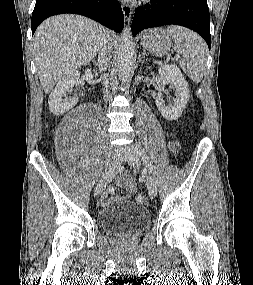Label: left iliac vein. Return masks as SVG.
<instances>
[{"label":"left iliac vein","mask_w":253,"mask_h":285,"mask_svg":"<svg viewBox=\"0 0 253 285\" xmlns=\"http://www.w3.org/2000/svg\"><path fill=\"white\" fill-rule=\"evenodd\" d=\"M123 159L133 168H138L140 165V155L134 145H127L122 149ZM146 185L149 195L155 197L157 194V186L154 179L150 175H146Z\"/></svg>","instance_id":"4c4485c4"}]
</instances>
